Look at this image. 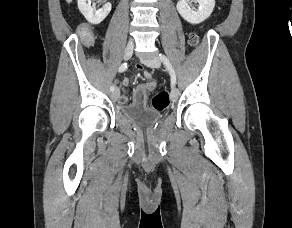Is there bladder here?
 Masks as SVG:
<instances>
[{"label": "bladder", "mask_w": 292, "mask_h": 228, "mask_svg": "<svg viewBox=\"0 0 292 228\" xmlns=\"http://www.w3.org/2000/svg\"><path fill=\"white\" fill-rule=\"evenodd\" d=\"M121 112L127 120L140 128L151 127L161 118L157 110L149 107L135 108L128 106L123 108Z\"/></svg>", "instance_id": "obj_1"}]
</instances>
